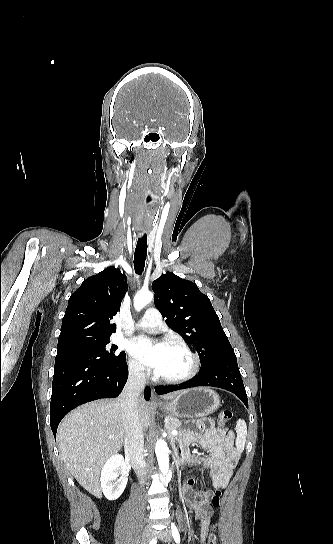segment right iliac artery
<instances>
[{
	"mask_svg": "<svg viewBox=\"0 0 333 544\" xmlns=\"http://www.w3.org/2000/svg\"><path fill=\"white\" fill-rule=\"evenodd\" d=\"M156 543H157L156 538H154V539L150 542V544H156Z\"/></svg>",
	"mask_w": 333,
	"mask_h": 544,
	"instance_id": "1",
	"label": "right iliac artery"
}]
</instances>
